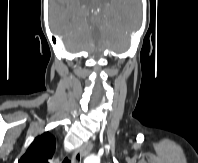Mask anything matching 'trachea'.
<instances>
[{
    "label": "trachea",
    "instance_id": "3493384b",
    "mask_svg": "<svg viewBox=\"0 0 198 163\" xmlns=\"http://www.w3.org/2000/svg\"><path fill=\"white\" fill-rule=\"evenodd\" d=\"M76 159L79 160V154L76 156ZM63 163H71V160L66 158Z\"/></svg>",
    "mask_w": 198,
    "mask_h": 163
}]
</instances>
